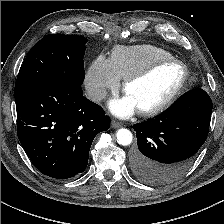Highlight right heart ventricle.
I'll return each mask as SVG.
<instances>
[{
	"instance_id": "e07e8e85",
	"label": "right heart ventricle",
	"mask_w": 224,
	"mask_h": 224,
	"mask_svg": "<svg viewBox=\"0 0 224 224\" xmlns=\"http://www.w3.org/2000/svg\"><path fill=\"white\" fill-rule=\"evenodd\" d=\"M172 57L173 55L164 48L141 44L115 47L112 50L110 62L118 78L124 80L156 60Z\"/></svg>"
}]
</instances>
